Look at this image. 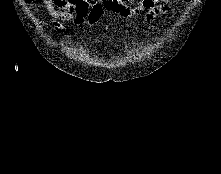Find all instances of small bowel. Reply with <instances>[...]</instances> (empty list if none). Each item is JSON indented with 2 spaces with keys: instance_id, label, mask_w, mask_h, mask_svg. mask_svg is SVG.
Listing matches in <instances>:
<instances>
[{
  "instance_id": "c3829d8e",
  "label": "small bowel",
  "mask_w": 221,
  "mask_h": 174,
  "mask_svg": "<svg viewBox=\"0 0 221 174\" xmlns=\"http://www.w3.org/2000/svg\"><path fill=\"white\" fill-rule=\"evenodd\" d=\"M132 0H43L42 7L56 21H72L76 26L92 25L104 11L118 16L132 18L147 12L148 20H153L165 11L161 3L177 0H141L130 5Z\"/></svg>"
}]
</instances>
